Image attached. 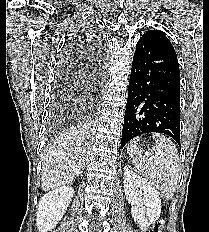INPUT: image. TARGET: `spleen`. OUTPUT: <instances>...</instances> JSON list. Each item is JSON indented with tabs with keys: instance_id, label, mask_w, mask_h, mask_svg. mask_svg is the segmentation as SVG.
I'll use <instances>...</instances> for the list:
<instances>
[{
	"instance_id": "obj_1",
	"label": "spleen",
	"mask_w": 209,
	"mask_h": 232,
	"mask_svg": "<svg viewBox=\"0 0 209 232\" xmlns=\"http://www.w3.org/2000/svg\"><path fill=\"white\" fill-rule=\"evenodd\" d=\"M152 138L156 144L151 152H144L137 146L139 139H134L128 144L127 152L136 172L160 190L165 199H171L179 181L178 151L175 144L166 136L154 134Z\"/></svg>"
}]
</instances>
